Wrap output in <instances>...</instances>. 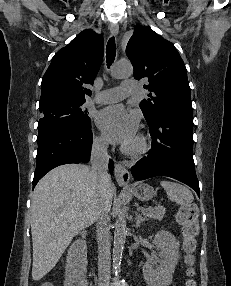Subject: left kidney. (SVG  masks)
I'll return each instance as SVG.
<instances>
[{"label":"left kidney","instance_id":"left-kidney-1","mask_svg":"<svg viewBox=\"0 0 231 286\" xmlns=\"http://www.w3.org/2000/svg\"><path fill=\"white\" fill-rule=\"evenodd\" d=\"M156 250L143 266V275L149 286H169L179 258V246L174 235L159 231L153 241Z\"/></svg>","mask_w":231,"mask_h":286}]
</instances>
